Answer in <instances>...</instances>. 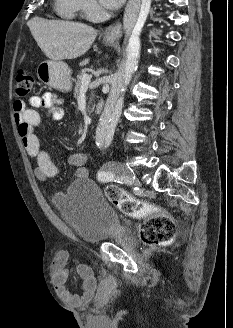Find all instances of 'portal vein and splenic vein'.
<instances>
[{
  "label": "portal vein and splenic vein",
  "instance_id": "obj_1",
  "mask_svg": "<svg viewBox=\"0 0 233 328\" xmlns=\"http://www.w3.org/2000/svg\"><path fill=\"white\" fill-rule=\"evenodd\" d=\"M90 80H91V77L89 75H83L80 90H87Z\"/></svg>",
  "mask_w": 233,
  "mask_h": 328
}]
</instances>
